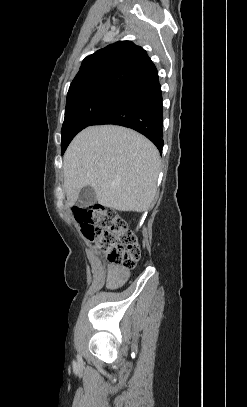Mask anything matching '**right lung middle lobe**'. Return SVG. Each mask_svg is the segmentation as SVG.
I'll return each mask as SVG.
<instances>
[{"mask_svg": "<svg viewBox=\"0 0 247 407\" xmlns=\"http://www.w3.org/2000/svg\"><path fill=\"white\" fill-rule=\"evenodd\" d=\"M135 91L121 86L109 87L66 104L61 130L62 154L77 133L87 126L93 125L97 119L119 105Z\"/></svg>", "mask_w": 247, "mask_h": 407, "instance_id": "dd1d6c3e", "label": "right lung middle lobe"}]
</instances>
